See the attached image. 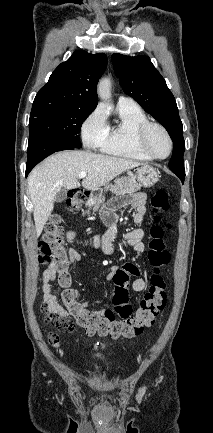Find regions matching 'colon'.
Instances as JSON below:
<instances>
[{
    "label": "colon",
    "instance_id": "obj_1",
    "mask_svg": "<svg viewBox=\"0 0 213 433\" xmlns=\"http://www.w3.org/2000/svg\"><path fill=\"white\" fill-rule=\"evenodd\" d=\"M89 198V193L82 189H73L68 193L67 208L70 211L80 209ZM151 207L154 212L155 224L150 229L148 242V260L154 267L150 278V285L135 311L129 303L128 286L131 273L128 268H120L113 275L116 285L113 296V309L104 312L93 311L84 303L77 300V292L70 287V275L66 267V251L60 237V224L62 218L55 215L51 218L45 229V234L39 243L41 251L40 261H53L59 271L58 281L63 288L61 299L65 304L70 317L90 334H100L112 338L136 337L146 327L154 324L157 315L164 308L167 298L166 281L160 269L169 263L170 255L167 251L164 239V230L159 225L160 214L169 210V197L164 189H157L151 198ZM170 229L171 225L168 224ZM47 323H51L60 331H71L72 324L67 318L54 315L45 317Z\"/></svg>",
    "mask_w": 213,
    "mask_h": 433
}]
</instances>
